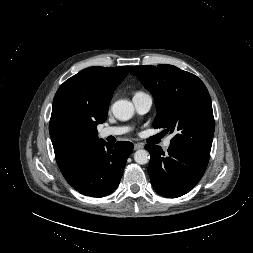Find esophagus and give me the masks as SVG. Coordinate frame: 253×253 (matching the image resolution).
Instances as JSON below:
<instances>
[{"label": "esophagus", "instance_id": "esophagus-1", "mask_svg": "<svg viewBox=\"0 0 253 253\" xmlns=\"http://www.w3.org/2000/svg\"><path fill=\"white\" fill-rule=\"evenodd\" d=\"M144 145L142 143H135L134 144V150L142 149Z\"/></svg>", "mask_w": 253, "mask_h": 253}]
</instances>
